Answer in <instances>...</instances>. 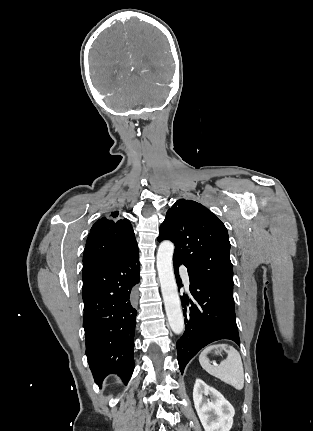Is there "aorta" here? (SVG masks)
Instances as JSON below:
<instances>
[{
    "mask_svg": "<svg viewBox=\"0 0 313 431\" xmlns=\"http://www.w3.org/2000/svg\"><path fill=\"white\" fill-rule=\"evenodd\" d=\"M174 244L163 241L157 252V270L170 328L175 334L184 331V317L173 271Z\"/></svg>",
    "mask_w": 313,
    "mask_h": 431,
    "instance_id": "1",
    "label": "aorta"
}]
</instances>
